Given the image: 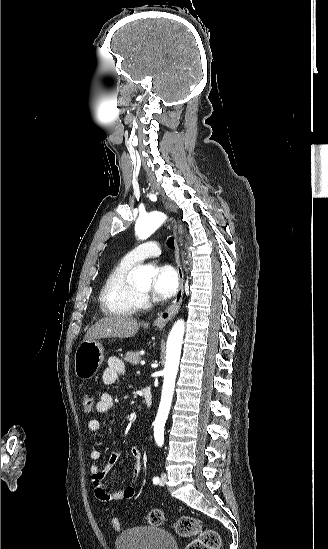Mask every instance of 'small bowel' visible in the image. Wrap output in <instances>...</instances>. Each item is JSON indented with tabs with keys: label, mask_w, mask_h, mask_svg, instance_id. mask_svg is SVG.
<instances>
[{
	"label": "small bowel",
	"mask_w": 328,
	"mask_h": 549,
	"mask_svg": "<svg viewBox=\"0 0 328 549\" xmlns=\"http://www.w3.org/2000/svg\"><path fill=\"white\" fill-rule=\"evenodd\" d=\"M124 372L125 367L122 361L119 358L112 356L108 359V366L104 369L102 373V381L105 385H113L116 383L118 375ZM113 405V396L109 393H103L96 404V411L99 413H107L109 410H111ZM87 427L91 432H98L101 428V424L100 421L97 419H90L88 421ZM120 455L121 451L119 449L113 450L105 467L101 468L98 464V461L101 457V452L98 449H92L89 453V472L91 476V481L94 487L96 498L102 502L129 500L133 498L135 494L134 483L139 478L142 470V452L140 448L136 445H133L130 448V455L133 460L131 484L123 489L115 490L109 488L103 482L106 474L118 462Z\"/></svg>",
	"instance_id": "c3829d8e"
}]
</instances>
